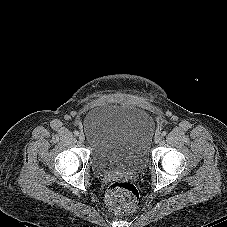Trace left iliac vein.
<instances>
[{
  "mask_svg": "<svg viewBox=\"0 0 227 227\" xmlns=\"http://www.w3.org/2000/svg\"><path fill=\"white\" fill-rule=\"evenodd\" d=\"M162 136H163V135H162L161 133H156V135H155V137H154V141H155L156 143L161 142Z\"/></svg>",
  "mask_w": 227,
  "mask_h": 227,
  "instance_id": "4c4485c4",
  "label": "left iliac vein"
}]
</instances>
